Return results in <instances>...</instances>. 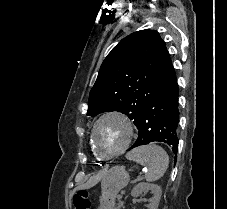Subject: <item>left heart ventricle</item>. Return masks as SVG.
<instances>
[{"instance_id":"b2bd125f","label":"left heart ventricle","mask_w":227,"mask_h":209,"mask_svg":"<svg viewBox=\"0 0 227 209\" xmlns=\"http://www.w3.org/2000/svg\"><path fill=\"white\" fill-rule=\"evenodd\" d=\"M129 135L127 125L117 117H106L95 130V140L99 151L107 154L120 149Z\"/></svg>"}]
</instances>
